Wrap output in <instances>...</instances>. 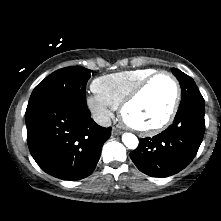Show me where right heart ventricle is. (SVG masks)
<instances>
[{
	"mask_svg": "<svg viewBox=\"0 0 221 221\" xmlns=\"http://www.w3.org/2000/svg\"><path fill=\"white\" fill-rule=\"evenodd\" d=\"M154 72L152 68H139L103 75L93 81L92 90L112 108H117L136 85Z\"/></svg>",
	"mask_w": 221,
	"mask_h": 221,
	"instance_id": "right-heart-ventricle-1",
	"label": "right heart ventricle"
}]
</instances>
